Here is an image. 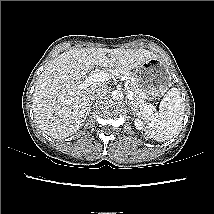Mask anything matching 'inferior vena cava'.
<instances>
[{
    "mask_svg": "<svg viewBox=\"0 0 214 214\" xmlns=\"http://www.w3.org/2000/svg\"><path fill=\"white\" fill-rule=\"evenodd\" d=\"M108 93V87L105 84L95 85L90 91V100L101 99Z\"/></svg>",
    "mask_w": 214,
    "mask_h": 214,
    "instance_id": "1",
    "label": "inferior vena cava"
}]
</instances>
